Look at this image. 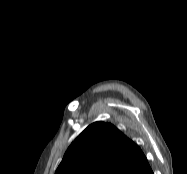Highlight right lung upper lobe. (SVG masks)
<instances>
[{
    "label": "right lung upper lobe",
    "mask_w": 187,
    "mask_h": 174,
    "mask_svg": "<svg viewBox=\"0 0 187 174\" xmlns=\"http://www.w3.org/2000/svg\"><path fill=\"white\" fill-rule=\"evenodd\" d=\"M55 174H153L141 149L110 123L94 122L69 146Z\"/></svg>",
    "instance_id": "right-lung-upper-lobe-1"
}]
</instances>
